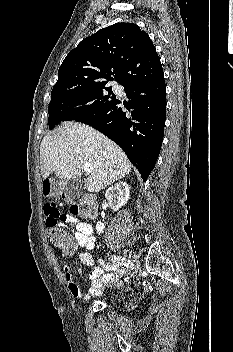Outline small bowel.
<instances>
[{"label": "small bowel", "instance_id": "small-bowel-1", "mask_svg": "<svg viewBox=\"0 0 233 352\" xmlns=\"http://www.w3.org/2000/svg\"><path fill=\"white\" fill-rule=\"evenodd\" d=\"M42 191L47 198L43 206L46 224H54L59 227L68 228L75 237V248L80 247L86 250H92L95 246L92 226L84 220L73 215L62 213L59 210L54 200L56 188L53 184L45 182ZM71 254H63L64 279L69 291L75 298L88 300L93 296H98L101 294L102 288L105 285L116 284L123 275V270L119 266L107 264L100 258L94 260L90 253L82 252L79 255V260L84 266H92L94 261L97 264L88 274V277L91 279V287L84 292L74 281L72 274L74 262L69 257ZM105 271L108 273H105Z\"/></svg>", "mask_w": 233, "mask_h": 352}]
</instances>
